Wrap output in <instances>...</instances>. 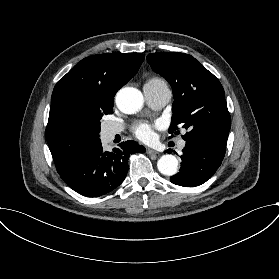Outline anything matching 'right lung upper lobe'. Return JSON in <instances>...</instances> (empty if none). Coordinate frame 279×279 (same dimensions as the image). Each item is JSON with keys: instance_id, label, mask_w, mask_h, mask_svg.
<instances>
[{"instance_id": "cb5924a9", "label": "right lung upper lobe", "mask_w": 279, "mask_h": 279, "mask_svg": "<svg viewBox=\"0 0 279 279\" xmlns=\"http://www.w3.org/2000/svg\"><path fill=\"white\" fill-rule=\"evenodd\" d=\"M143 61L141 53L93 55L81 60L57 82L46 128L57 171L101 142L91 109L113 102L116 92L137 73Z\"/></svg>"}]
</instances>
